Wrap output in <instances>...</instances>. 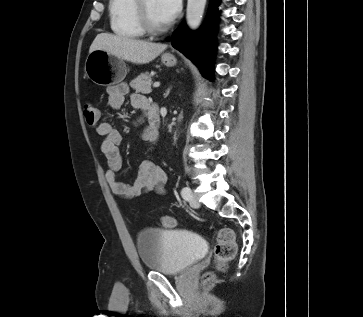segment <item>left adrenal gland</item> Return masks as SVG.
<instances>
[{
  "instance_id": "a2214340",
  "label": "left adrenal gland",
  "mask_w": 363,
  "mask_h": 317,
  "mask_svg": "<svg viewBox=\"0 0 363 317\" xmlns=\"http://www.w3.org/2000/svg\"><path fill=\"white\" fill-rule=\"evenodd\" d=\"M169 93H170V88H168V89L166 90V93H164V98H166V97L169 95Z\"/></svg>"
}]
</instances>
